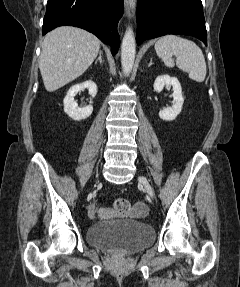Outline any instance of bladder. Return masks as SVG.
I'll return each mask as SVG.
<instances>
[{"label":"bladder","instance_id":"bladder-1","mask_svg":"<svg viewBox=\"0 0 240 287\" xmlns=\"http://www.w3.org/2000/svg\"><path fill=\"white\" fill-rule=\"evenodd\" d=\"M152 227L131 219H116L92 225L87 232L89 244L105 250L135 253L153 243Z\"/></svg>","mask_w":240,"mask_h":287}]
</instances>
